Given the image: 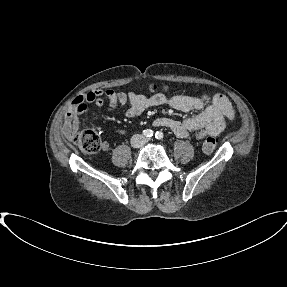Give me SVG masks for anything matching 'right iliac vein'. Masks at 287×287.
<instances>
[{
  "label": "right iliac vein",
  "mask_w": 287,
  "mask_h": 287,
  "mask_svg": "<svg viewBox=\"0 0 287 287\" xmlns=\"http://www.w3.org/2000/svg\"><path fill=\"white\" fill-rule=\"evenodd\" d=\"M139 137L138 136H136V137H134V139H133V141H132V145L133 146H137L138 145V143H139Z\"/></svg>",
  "instance_id": "obj_1"
}]
</instances>
